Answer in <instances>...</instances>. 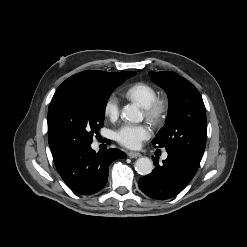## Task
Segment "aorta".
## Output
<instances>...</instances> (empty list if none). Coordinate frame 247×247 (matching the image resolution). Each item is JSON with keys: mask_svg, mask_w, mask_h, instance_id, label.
<instances>
[{"mask_svg": "<svg viewBox=\"0 0 247 247\" xmlns=\"http://www.w3.org/2000/svg\"><path fill=\"white\" fill-rule=\"evenodd\" d=\"M122 118L126 121L139 123L143 120L142 113L134 105H126L122 109ZM135 170L140 175H148L153 170V162L148 157H141L135 162Z\"/></svg>", "mask_w": 247, "mask_h": 247, "instance_id": "aorta-1", "label": "aorta"}]
</instances>
